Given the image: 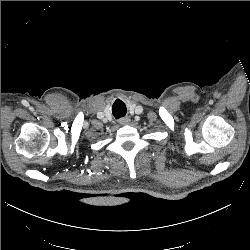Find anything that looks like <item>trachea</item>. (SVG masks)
I'll return each instance as SVG.
<instances>
[{"instance_id": "1", "label": "trachea", "mask_w": 250, "mask_h": 250, "mask_svg": "<svg viewBox=\"0 0 250 250\" xmlns=\"http://www.w3.org/2000/svg\"><path fill=\"white\" fill-rule=\"evenodd\" d=\"M117 103V101L115 102V104ZM114 104V105H115ZM114 105H113V113H115L116 111H121V109L120 108H114ZM124 114H125V112H124ZM124 114H122V115H116L115 117L116 118H120V117H122V116H124Z\"/></svg>"}]
</instances>
